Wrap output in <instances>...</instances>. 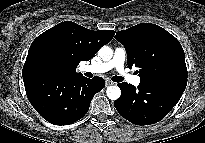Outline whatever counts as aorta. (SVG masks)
<instances>
[{
  "label": "aorta",
  "instance_id": "aorta-1",
  "mask_svg": "<svg viewBox=\"0 0 205 143\" xmlns=\"http://www.w3.org/2000/svg\"><path fill=\"white\" fill-rule=\"evenodd\" d=\"M98 55L103 61H109L113 56V51L108 46H103L100 48ZM107 97L110 100H117L121 96V90L118 86H109L106 90Z\"/></svg>",
  "mask_w": 205,
  "mask_h": 143
}]
</instances>
